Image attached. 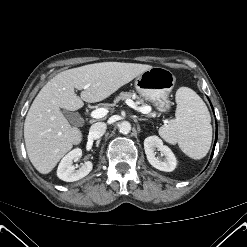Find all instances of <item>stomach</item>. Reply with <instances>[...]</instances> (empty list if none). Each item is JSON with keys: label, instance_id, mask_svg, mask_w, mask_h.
I'll return each instance as SVG.
<instances>
[{"label": "stomach", "instance_id": "stomach-1", "mask_svg": "<svg viewBox=\"0 0 247 247\" xmlns=\"http://www.w3.org/2000/svg\"><path fill=\"white\" fill-rule=\"evenodd\" d=\"M175 76L163 67H152L135 80L137 92L162 110L170 108L169 94L175 86Z\"/></svg>", "mask_w": 247, "mask_h": 247}]
</instances>
